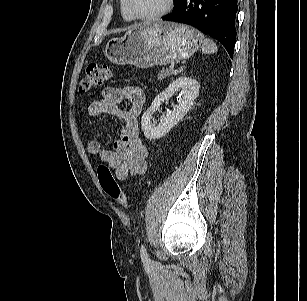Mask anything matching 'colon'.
I'll return each instance as SVG.
<instances>
[{"mask_svg":"<svg viewBox=\"0 0 307 301\" xmlns=\"http://www.w3.org/2000/svg\"><path fill=\"white\" fill-rule=\"evenodd\" d=\"M113 77L112 70L107 65L90 63L83 74L79 84V91L86 93L96 89L105 81ZM98 179L104 192L112 199L116 200L124 209H129V201L126 194L121 189L119 183L113 176L110 168L105 164L98 167Z\"/></svg>","mask_w":307,"mask_h":301,"instance_id":"1","label":"colon"}]
</instances>
